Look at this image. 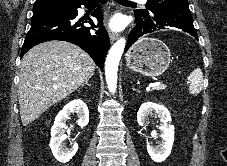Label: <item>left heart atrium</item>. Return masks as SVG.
<instances>
[{
	"label": "left heart atrium",
	"instance_id": "obj_1",
	"mask_svg": "<svg viewBox=\"0 0 227 166\" xmlns=\"http://www.w3.org/2000/svg\"><path fill=\"white\" fill-rule=\"evenodd\" d=\"M123 25L124 21L123 18L120 16L114 17L109 23L111 29H120L123 27Z\"/></svg>",
	"mask_w": 227,
	"mask_h": 166
}]
</instances>
